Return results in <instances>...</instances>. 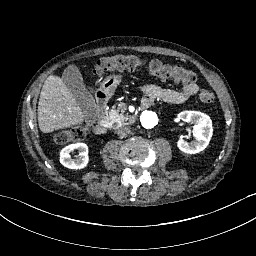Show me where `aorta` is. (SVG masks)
Returning a JSON list of instances; mask_svg holds the SVG:
<instances>
[{"label": "aorta", "instance_id": "aorta-1", "mask_svg": "<svg viewBox=\"0 0 256 256\" xmlns=\"http://www.w3.org/2000/svg\"><path fill=\"white\" fill-rule=\"evenodd\" d=\"M142 123L146 127H153L157 123V116L153 112H146L142 116Z\"/></svg>", "mask_w": 256, "mask_h": 256}]
</instances>
